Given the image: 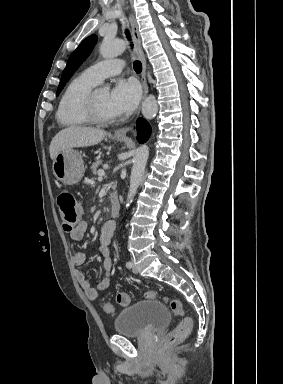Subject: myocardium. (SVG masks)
<instances>
[{"label":"myocardium","instance_id":"myocardium-1","mask_svg":"<svg viewBox=\"0 0 283 384\" xmlns=\"http://www.w3.org/2000/svg\"><path fill=\"white\" fill-rule=\"evenodd\" d=\"M95 90L96 89H91L81 100L79 105L80 115L87 122L95 125L107 126L115 123L116 118L107 119L99 114L95 101Z\"/></svg>","mask_w":283,"mask_h":384}]
</instances>
